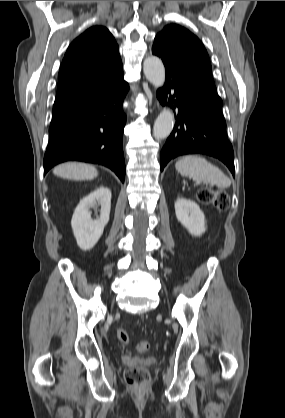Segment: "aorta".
<instances>
[{
  "label": "aorta",
  "mask_w": 285,
  "mask_h": 418,
  "mask_svg": "<svg viewBox=\"0 0 285 418\" xmlns=\"http://www.w3.org/2000/svg\"><path fill=\"white\" fill-rule=\"evenodd\" d=\"M143 72L146 79L156 88H160L165 82V68L160 58L149 56L143 62ZM174 114L169 108H164L157 117L153 136L158 139L167 138L173 130Z\"/></svg>",
  "instance_id": "762f6f07"
}]
</instances>
